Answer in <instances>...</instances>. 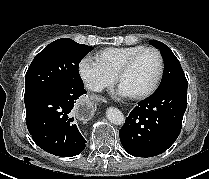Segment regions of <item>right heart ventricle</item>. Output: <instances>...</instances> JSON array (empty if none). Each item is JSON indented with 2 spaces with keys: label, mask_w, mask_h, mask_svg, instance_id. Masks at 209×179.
<instances>
[{
  "label": "right heart ventricle",
  "mask_w": 209,
  "mask_h": 179,
  "mask_svg": "<svg viewBox=\"0 0 209 179\" xmlns=\"http://www.w3.org/2000/svg\"><path fill=\"white\" fill-rule=\"evenodd\" d=\"M143 48L142 45L108 47L96 53L95 61L106 74L114 78L122 64Z\"/></svg>",
  "instance_id": "e07e8e85"
}]
</instances>
